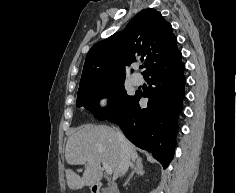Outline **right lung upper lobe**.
Wrapping results in <instances>:
<instances>
[{
    "label": "right lung upper lobe",
    "instance_id": "cb5924a9",
    "mask_svg": "<svg viewBox=\"0 0 237 193\" xmlns=\"http://www.w3.org/2000/svg\"><path fill=\"white\" fill-rule=\"evenodd\" d=\"M178 51L177 38L171 25L155 9L139 12L118 33L96 43L88 52L84 63L79 90L115 80H125L120 73L121 62L130 65L142 56L144 75L153 65Z\"/></svg>",
    "mask_w": 237,
    "mask_h": 193
}]
</instances>
